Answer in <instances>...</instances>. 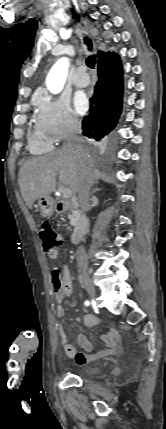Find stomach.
Masks as SVG:
<instances>
[{"mask_svg":"<svg viewBox=\"0 0 166 429\" xmlns=\"http://www.w3.org/2000/svg\"><path fill=\"white\" fill-rule=\"evenodd\" d=\"M37 207L42 215L49 217L54 212V200L50 196L40 197Z\"/></svg>","mask_w":166,"mask_h":429,"instance_id":"1","label":"stomach"}]
</instances>
